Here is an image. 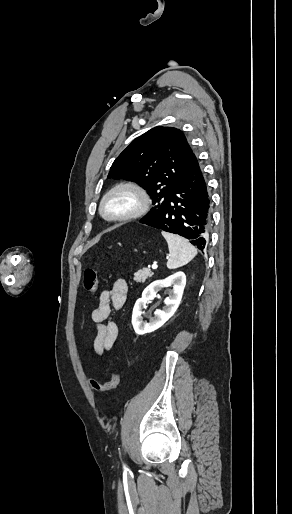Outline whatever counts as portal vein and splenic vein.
Returning a JSON list of instances; mask_svg holds the SVG:
<instances>
[{"instance_id":"obj_1","label":"portal vein and splenic vein","mask_w":292,"mask_h":514,"mask_svg":"<svg viewBox=\"0 0 292 514\" xmlns=\"http://www.w3.org/2000/svg\"><path fill=\"white\" fill-rule=\"evenodd\" d=\"M153 270H156V268H158V266H156V264H154V266H152Z\"/></svg>"}]
</instances>
